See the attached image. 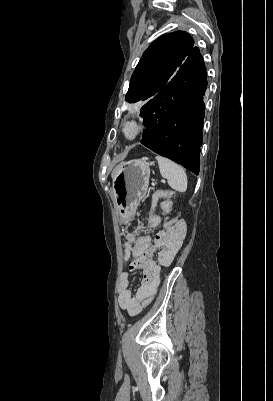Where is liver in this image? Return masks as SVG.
<instances>
[{"label": "liver", "mask_w": 273, "mask_h": 401, "mask_svg": "<svg viewBox=\"0 0 273 401\" xmlns=\"http://www.w3.org/2000/svg\"><path fill=\"white\" fill-rule=\"evenodd\" d=\"M121 164H122V162H121ZM121 164H117V166H115V168H113V170H112V172H111L112 178H114V176H115V174H116L118 168H120Z\"/></svg>", "instance_id": "1"}]
</instances>
